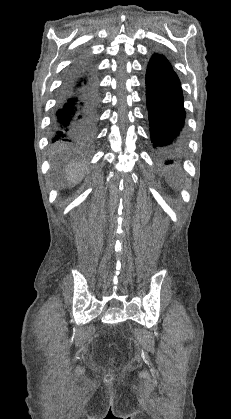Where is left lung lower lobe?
Here are the masks:
<instances>
[{
  "label": "left lung lower lobe",
  "mask_w": 231,
  "mask_h": 419,
  "mask_svg": "<svg viewBox=\"0 0 231 419\" xmlns=\"http://www.w3.org/2000/svg\"><path fill=\"white\" fill-rule=\"evenodd\" d=\"M146 101L153 147L166 164L181 156L185 145V111L180 81L169 61L154 54L146 71Z\"/></svg>",
  "instance_id": "0a47b994"
}]
</instances>
